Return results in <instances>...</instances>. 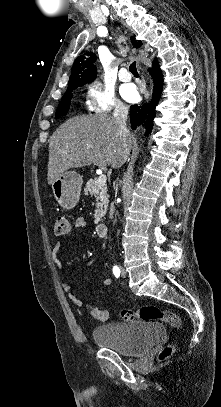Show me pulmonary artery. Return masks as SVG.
<instances>
[{
    "label": "pulmonary artery",
    "mask_w": 221,
    "mask_h": 407,
    "mask_svg": "<svg viewBox=\"0 0 221 407\" xmlns=\"http://www.w3.org/2000/svg\"><path fill=\"white\" fill-rule=\"evenodd\" d=\"M118 78L122 82H128L131 80V76L126 70V68H122L118 73Z\"/></svg>",
    "instance_id": "obj_1"
}]
</instances>
